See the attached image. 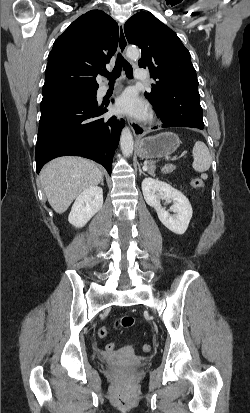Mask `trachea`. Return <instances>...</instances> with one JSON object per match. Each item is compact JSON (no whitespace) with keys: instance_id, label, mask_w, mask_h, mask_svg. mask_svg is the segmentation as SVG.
I'll return each instance as SVG.
<instances>
[{"instance_id":"1","label":"trachea","mask_w":250,"mask_h":413,"mask_svg":"<svg viewBox=\"0 0 250 413\" xmlns=\"http://www.w3.org/2000/svg\"><path fill=\"white\" fill-rule=\"evenodd\" d=\"M122 68L125 70L126 76L130 79L133 78V68L132 66L122 57L121 54H118L115 66L112 73L107 71L103 72V75L108 78L110 83H114L115 80L121 75Z\"/></svg>"}]
</instances>
